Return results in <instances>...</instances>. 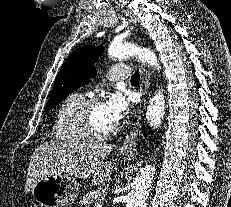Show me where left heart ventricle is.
Masks as SVG:
<instances>
[{
  "label": "left heart ventricle",
  "mask_w": 231,
  "mask_h": 207,
  "mask_svg": "<svg viewBox=\"0 0 231 207\" xmlns=\"http://www.w3.org/2000/svg\"><path fill=\"white\" fill-rule=\"evenodd\" d=\"M91 126L98 132H105L112 129L116 124L106 114L103 103L93 106L89 114Z\"/></svg>",
  "instance_id": "1"
}]
</instances>
